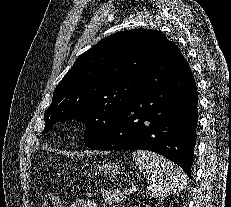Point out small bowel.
I'll return each instance as SVG.
<instances>
[{"mask_svg": "<svg viewBox=\"0 0 231 207\" xmlns=\"http://www.w3.org/2000/svg\"><path fill=\"white\" fill-rule=\"evenodd\" d=\"M70 207H96V204L90 199L77 198Z\"/></svg>", "mask_w": 231, "mask_h": 207, "instance_id": "1", "label": "small bowel"}]
</instances>
